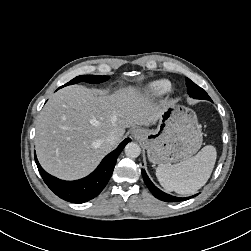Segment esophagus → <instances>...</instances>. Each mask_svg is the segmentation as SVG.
<instances>
[{"mask_svg": "<svg viewBox=\"0 0 251 251\" xmlns=\"http://www.w3.org/2000/svg\"><path fill=\"white\" fill-rule=\"evenodd\" d=\"M138 134V131L137 130H134L133 132H132V135L133 136H136Z\"/></svg>", "mask_w": 251, "mask_h": 251, "instance_id": "34e87169", "label": "esophagus"}]
</instances>
